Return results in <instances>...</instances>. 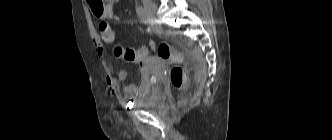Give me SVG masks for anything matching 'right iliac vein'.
<instances>
[{
    "label": "right iliac vein",
    "mask_w": 332,
    "mask_h": 140,
    "mask_svg": "<svg viewBox=\"0 0 332 140\" xmlns=\"http://www.w3.org/2000/svg\"><path fill=\"white\" fill-rule=\"evenodd\" d=\"M146 15L149 19H155L156 17V5L152 0L142 1Z\"/></svg>",
    "instance_id": "63e3f726"
}]
</instances>
